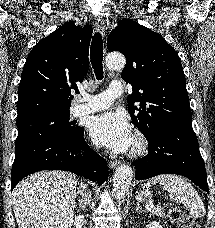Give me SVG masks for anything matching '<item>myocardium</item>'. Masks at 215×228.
I'll list each match as a JSON object with an SVG mask.
<instances>
[{
    "label": "myocardium",
    "instance_id": "1",
    "mask_svg": "<svg viewBox=\"0 0 215 228\" xmlns=\"http://www.w3.org/2000/svg\"><path fill=\"white\" fill-rule=\"evenodd\" d=\"M148 149V142L146 137L138 133L135 135L132 146L129 150V157L136 158L143 155Z\"/></svg>",
    "mask_w": 215,
    "mask_h": 228
}]
</instances>
